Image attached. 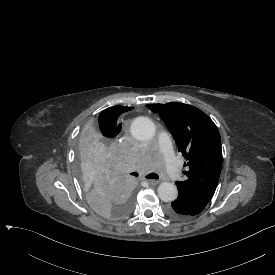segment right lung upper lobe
I'll use <instances>...</instances> for the list:
<instances>
[{"instance_id": "cb5924a9", "label": "right lung upper lobe", "mask_w": 275, "mask_h": 275, "mask_svg": "<svg viewBox=\"0 0 275 275\" xmlns=\"http://www.w3.org/2000/svg\"><path fill=\"white\" fill-rule=\"evenodd\" d=\"M131 109H133V107L113 106L101 112L99 125L102 134L107 138H113L118 135L122 125L117 122V119L122 113Z\"/></svg>"}]
</instances>
